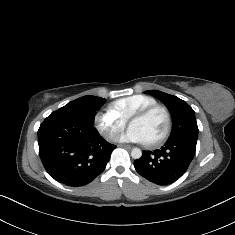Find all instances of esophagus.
I'll return each mask as SVG.
<instances>
[{
    "instance_id": "34e87169",
    "label": "esophagus",
    "mask_w": 235,
    "mask_h": 235,
    "mask_svg": "<svg viewBox=\"0 0 235 235\" xmlns=\"http://www.w3.org/2000/svg\"><path fill=\"white\" fill-rule=\"evenodd\" d=\"M118 146L122 147V148H126V149H131L132 148V146L128 145V144H119Z\"/></svg>"
}]
</instances>
